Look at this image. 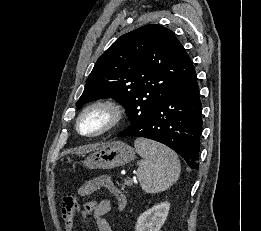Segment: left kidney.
<instances>
[{
    "mask_svg": "<svg viewBox=\"0 0 261 231\" xmlns=\"http://www.w3.org/2000/svg\"><path fill=\"white\" fill-rule=\"evenodd\" d=\"M170 203L163 202L143 212L137 219L135 231H159L164 224Z\"/></svg>",
    "mask_w": 261,
    "mask_h": 231,
    "instance_id": "1",
    "label": "left kidney"
}]
</instances>
